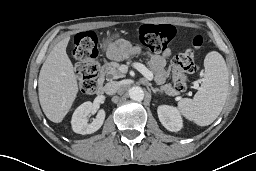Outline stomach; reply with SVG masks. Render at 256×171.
Wrapping results in <instances>:
<instances>
[{"label":"stomach","mask_w":256,"mask_h":171,"mask_svg":"<svg viewBox=\"0 0 256 171\" xmlns=\"http://www.w3.org/2000/svg\"><path fill=\"white\" fill-rule=\"evenodd\" d=\"M119 37V33L115 32L111 35H108L107 38L103 41V48L106 50V53L109 58L119 60L122 58V53L119 50H113V40Z\"/></svg>","instance_id":"0dacf381"}]
</instances>
